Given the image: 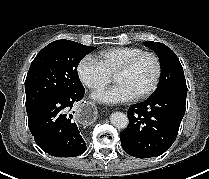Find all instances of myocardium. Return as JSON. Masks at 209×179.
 <instances>
[{
	"label": "myocardium",
	"mask_w": 209,
	"mask_h": 179,
	"mask_svg": "<svg viewBox=\"0 0 209 179\" xmlns=\"http://www.w3.org/2000/svg\"><path fill=\"white\" fill-rule=\"evenodd\" d=\"M145 56H149L154 60L155 65H156V73H155V77H154L152 84L145 91L134 96V98L138 100L149 97L152 93H154V91L157 89L159 85L161 75H162V64H161V60L159 56L156 53L151 52V51H142L136 54L135 56L131 57L128 61H126L113 75L115 78L116 76L120 74H124L130 71L135 66V64L141 58Z\"/></svg>",
	"instance_id": "1"
}]
</instances>
